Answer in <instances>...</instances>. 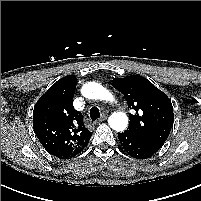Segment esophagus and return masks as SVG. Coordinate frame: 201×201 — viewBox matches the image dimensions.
Segmentation results:
<instances>
[{"label":"esophagus","mask_w":201,"mask_h":201,"mask_svg":"<svg viewBox=\"0 0 201 201\" xmlns=\"http://www.w3.org/2000/svg\"><path fill=\"white\" fill-rule=\"evenodd\" d=\"M107 117H108V114H104L100 119H98L96 121V123H100V122L104 121L105 119H107Z\"/></svg>","instance_id":"obj_1"}]
</instances>
